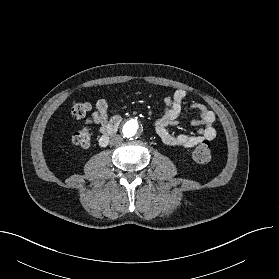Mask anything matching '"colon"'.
<instances>
[{"label":"colon","mask_w":279,"mask_h":279,"mask_svg":"<svg viewBox=\"0 0 279 279\" xmlns=\"http://www.w3.org/2000/svg\"><path fill=\"white\" fill-rule=\"evenodd\" d=\"M90 110L87 102H76L71 107V115L76 119L86 116ZM72 142L82 148H87L92 143V132L90 128L83 127L72 136ZM193 158L198 163H207L211 159V146L208 141H204L193 152Z\"/></svg>","instance_id":"5ec220e1"}]
</instances>
